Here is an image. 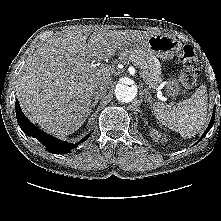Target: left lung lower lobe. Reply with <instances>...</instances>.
<instances>
[{
    "mask_svg": "<svg viewBox=\"0 0 221 221\" xmlns=\"http://www.w3.org/2000/svg\"><path fill=\"white\" fill-rule=\"evenodd\" d=\"M214 120H215V113H213V116H212V118H211V120H210V123H209L207 129H206V131L203 133V135H202V137H201V139H200L199 141H201V140L205 137V135L208 133V131L212 128L213 123H214Z\"/></svg>",
    "mask_w": 221,
    "mask_h": 221,
    "instance_id": "0a47b994",
    "label": "left lung lower lobe"
}]
</instances>
